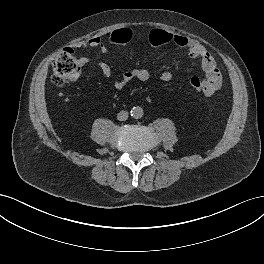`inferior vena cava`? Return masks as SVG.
<instances>
[{"label": "inferior vena cava", "instance_id": "inferior-vena-cava-1", "mask_svg": "<svg viewBox=\"0 0 264 264\" xmlns=\"http://www.w3.org/2000/svg\"><path fill=\"white\" fill-rule=\"evenodd\" d=\"M117 119L119 121H125L128 119V112L127 111H120L117 115Z\"/></svg>", "mask_w": 264, "mask_h": 264}]
</instances>
